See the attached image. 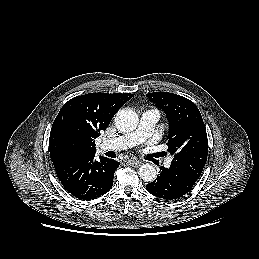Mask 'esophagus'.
Wrapping results in <instances>:
<instances>
[{"label": "esophagus", "mask_w": 259, "mask_h": 259, "mask_svg": "<svg viewBox=\"0 0 259 259\" xmlns=\"http://www.w3.org/2000/svg\"><path fill=\"white\" fill-rule=\"evenodd\" d=\"M127 162L133 167H139L141 165V162L135 158H131Z\"/></svg>", "instance_id": "esophagus-1"}]
</instances>
